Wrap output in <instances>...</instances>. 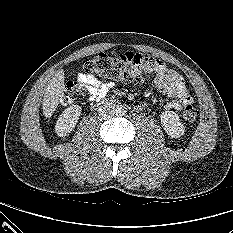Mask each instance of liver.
I'll return each mask as SVG.
<instances>
[{
	"label": "liver",
	"instance_id": "1",
	"mask_svg": "<svg viewBox=\"0 0 233 233\" xmlns=\"http://www.w3.org/2000/svg\"><path fill=\"white\" fill-rule=\"evenodd\" d=\"M64 71L58 70L55 76L50 80L43 96L42 110L46 118H50L56 110L59 100L64 95L65 81Z\"/></svg>",
	"mask_w": 233,
	"mask_h": 233
}]
</instances>
